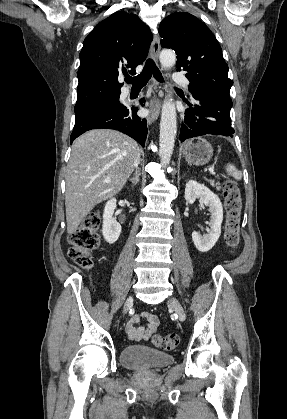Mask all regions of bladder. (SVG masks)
I'll return each mask as SVG.
<instances>
[{"label": "bladder", "instance_id": "obj_1", "mask_svg": "<svg viewBox=\"0 0 287 419\" xmlns=\"http://www.w3.org/2000/svg\"><path fill=\"white\" fill-rule=\"evenodd\" d=\"M120 360L130 369L158 370L172 364L174 357L146 346H127L123 348Z\"/></svg>", "mask_w": 287, "mask_h": 419}]
</instances>
